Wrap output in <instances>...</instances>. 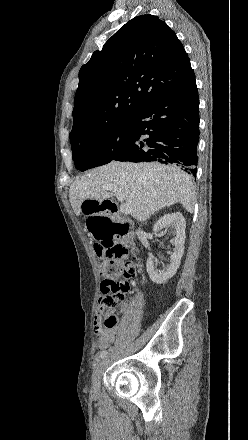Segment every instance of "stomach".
<instances>
[{"label":"stomach","mask_w":248,"mask_h":440,"mask_svg":"<svg viewBox=\"0 0 248 440\" xmlns=\"http://www.w3.org/2000/svg\"><path fill=\"white\" fill-rule=\"evenodd\" d=\"M91 203L93 204H83L82 217L86 218V230L94 237L95 244L102 246L104 241H117V230L113 228L111 218H108V209H105L104 204H97L101 202Z\"/></svg>","instance_id":"obj_1"}]
</instances>
